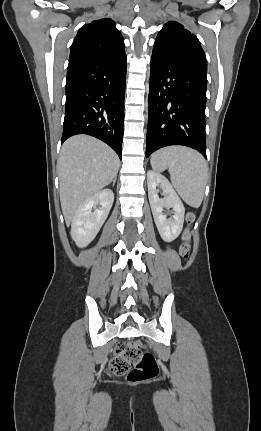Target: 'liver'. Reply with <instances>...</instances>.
I'll list each match as a JSON object with an SVG mask.
<instances>
[{"label": "liver", "instance_id": "obj_1", "mask_svg": "<svg viewBox=\"0 0 261 431\" xmlns=\"http://www.w3.org/2000/svg\"><path fill=\"white\" fill-rule=\"evenodd\" d=\"M119 165L116 153L94 137L76 135L65 141L58 174L61 208L67 225L88 198L112 182Z\"/></svg>", "mask_w": 261, "mask_h": 431}]
</instances>
